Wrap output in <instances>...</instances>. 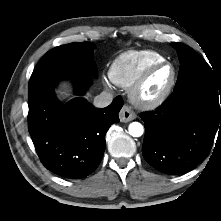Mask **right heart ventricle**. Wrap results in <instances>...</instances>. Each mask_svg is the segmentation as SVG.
<instances>
[{"instance_id":"e07e8e85","label":"right heart ventricle","mask_w":221,"mask_h":221,"mask_svg":"<svg viewBox=\"0 0 221 221\" xmlns=\"http://www.w3.org/2000/svg\"><path fill=\"white\" fill-rule=\"evenodd\" d=\"M163 60L165 57L153 50H130L113 61L109 77L118 86L129 88L148 66Z\"/></svg>"}]
</instances>
